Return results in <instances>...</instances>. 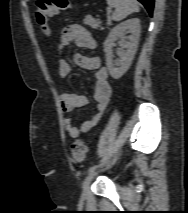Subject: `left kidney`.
<instances>
[{"label": "left kidney", "mask_w": 188, "mask_h": 213, "mask_svg": "<svg viewBox=\"0 0 188 213\" xmlns=\"http://www.w3.org/2000/svg\"><path fill=\"white\" fill-rule=\"evenodd\" d=\"M140 30L141 25L138 18H132L123 21L111 29L107 39L104 42V52L106 56V65L112 78H121L131 66L137 51ZM126 33L131 34L128 37L129 41H126ZM117 39H121L120 47L122 48L120 53L121 60L118 63L119 67H115L113 61V46Z\"/></svg>", "instance_id": "obj_1"}]
</instances>
